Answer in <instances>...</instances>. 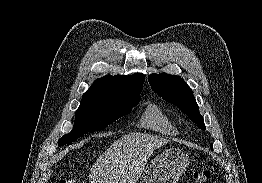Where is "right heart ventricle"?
<instances>
[{"label":"right heart ventricle","mask_w":262,"mask_h":183,"mask_svg":"<svg viewBox=\"0 0 262 183\" xmlns=\"http://www.w3.org/2000/svg\"><path fill=\"white\" fill-rule=\"evenodd\" d=\"M140 124L167 136H174L179 132L173 120L156 104H151L145 109Z\"/></svg>","instance_id":"obj_1"}]
</instances>
